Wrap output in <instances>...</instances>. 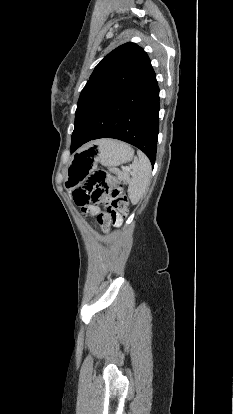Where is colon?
I'll list each match as a JSON object with an SVG mask.
<instances>
[{
  "label": "colon",
  "mask_w": 233,
  "mask_h": 414,
  "mask_svg": "<svg viewBox=\"0 0 233 414\" xmlns=\"http://www.w3.org/2000/svg\"><path fill=\"white\" fill-rule=\"evenodd\" d=\"M73 198L80 207H102L97 220L104 227L113 224L118 217L127 216L129 212V201L123 184L103 170L93 173L84 187L74 191Z\"/></svg>",
  "instance_id": "obj_1"
}]
</instances>
